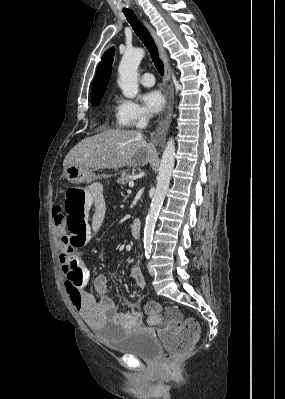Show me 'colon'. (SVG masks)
Masks as SVG:
<instances>
[{
	"label": "colon",
	"mask_w": 285,
	"mask_h": 399,
	"mask_svg": "<svg viewBox=\"0 0 285 399\" xmlns=\"http://www.w3.org/2000/svg\"><path fill=\"white\" fill-rule=\"evenodd\" d=\"M83 192L69 190L60 203L63 209L65 226L69 232V243L62 249L60 260L64 271L68 274L65 286L73 304L82 302L83 287L75 281L72 270L76 267L77 250L88 244L92 237V229L82 208ZM146 311L152 314L160 312L157 303H149ZM167 353L163 357L166 366L172 365L178 357L188 354L200 335V328L195 321H183L180 317L172 318L165 328L161 329Z\"/></svg>",
	"instance_id": "1"
}]
</instances>
